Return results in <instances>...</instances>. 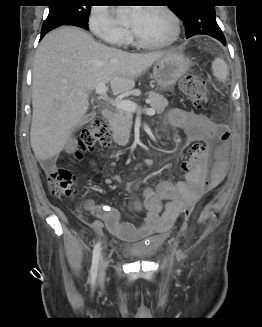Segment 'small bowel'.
<instances>
[{
	"label": "small bowel",
	"mask_w": 262,
	"mask_h": 327,
	"mask_svg": "<svg viewBox=\"0 0 262 327\" xmlns=\"http://www.w3.org/2000/svg\"><path fill=\"white\" fill-rule=\"evenodd\" d=\"M169 124L183 129L193 141L211 142L212 135H217V123L213 122L206 114L173 109L168 118ZM77 146V141L72 139L66 145L65 151L72 152ZM208 153H187V159H174L173 164L177 170H183L186 175L183 181L173 182L165 180L155 188H147L143 193L141 203L133 205L138 211L144 209L145 218L140 225L122 221L119 212L108 205L96 204L92 200H85L83 208L97 218L83 222L91 227L96 233H101L104 228L121 240L134 241L153 233L167 232L181 215L183 206L187 200L196 203L208 190L205 185V167L198 160H208ZM95 168L97 175L99 171ZM130 185L127 186V189ZM166 201V204L164 202Z\"/></svg>",
	"instance_id": "c3829d8e"
}]
</instances>
